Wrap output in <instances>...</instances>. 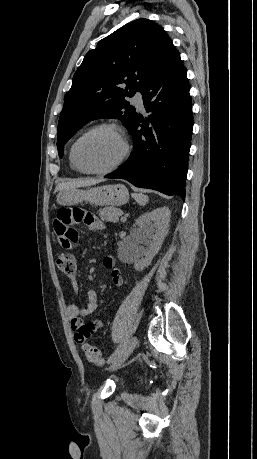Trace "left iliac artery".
I'll return each instance as SVG.
<instances>
[{
    "label": "left iliac artery",
    "instance_id": "1",
    "mask_svg": "<svg viewBox=\"0 0 257 459\" xmlns=\"http://www.w3.org/2000/svg\"><path fill=\"white\" fill-rule=\"evenodd\" d=\"M126 345V342H123L121 343L117 348L116 350L113 352V354L108 358V363H112L114 360L117 359V357H119V355L122 353L124 347Z\"/></svg>",
    "mask_w": 257,
    "mask_h": 459
}]
</instances>
